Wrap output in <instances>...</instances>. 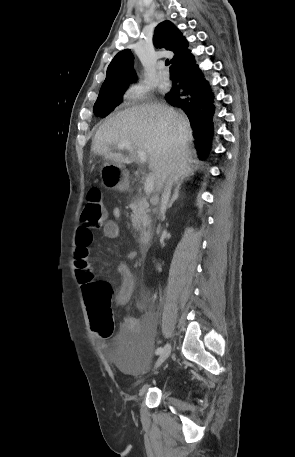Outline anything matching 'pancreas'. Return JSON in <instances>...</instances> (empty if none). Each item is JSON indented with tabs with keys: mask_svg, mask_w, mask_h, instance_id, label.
<instances>
[{
	"mask_svg": "<svg viewBox=\"0 0 295 457\" xmlns=\"http://www.w3.org/2000/svg\"><path fill=\"white\" fill-rule=\"evenodd\" d=\"M149 205L146 198L134 199L130 204L133 213L131 215L132 225L136 230L150 225L151 219L148 215Z\"/></svg>",
	"mask_w": 295,
	"mask_h": 457,
	"instance_id": "pancreas-1",
	"label": "pancreas"
}]
</instances>
